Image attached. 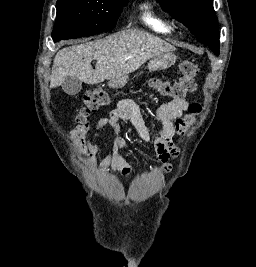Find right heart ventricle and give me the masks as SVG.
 <instances>
[{
    "label": "right heart ventricle",
    "mask_w": 256,
    "mask_h": 267,
    "mask_svg": "<svg viewBox=\"0 0 256 267\" xmlns=\"http://www.w3.org/2000/svg\"><path fill=\"white\" fill-rule=\"evenodd\" d=\"M151 29L155 31L158 34L161 35H169L175 33V24L172 21H165V22H159V21H153L148 22Z\"/></svg>",
    "instance_id": "e07e8e85"
}]
</instances>
